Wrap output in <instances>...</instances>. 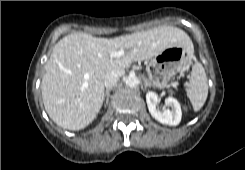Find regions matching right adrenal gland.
Returning <instances> with one entry per match:
<instances>
[{
	"mask_svg": "<svg viewBox=\"0 0 245 170\" xmlns=\"http://www.w3.org/2000/svg\"><path fill=\"white\" fill-rule=\"evenodd\" d=\"M111 90H112V87L106 89V91H105V95H104V97L106 98V105H105V106H108V103H109V97H110V92H111Z\"/></svg>",
	"mask_w": 245,
	"mask_h": 170,
	"instance_id": "obj_1",
	"label": "right adrenal gland"
}]
</instances>
